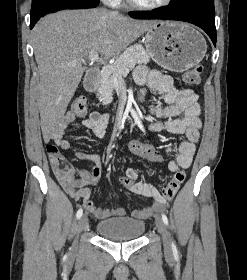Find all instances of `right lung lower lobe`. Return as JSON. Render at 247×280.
I'll return each mask as SVG.
<instances>
[{"instance_id":"1","label":"right lung lower lobe","mask_w":247,"mask_h":280,"mask_svg":"<svg viewBox=\"0 0 247 280\" xmlns=\"http://www.w3.org/2000/svg\"><path fill=\"white\" fill-rule=\"evenodd\" d=\"M98 3L89 1V0H65L52 4L49 6L39 17L30 20V28H33L35 23L39 20L40 17L45 16L48 13L53 11L62 10V9H82V8H92L96 7Z\"/></svg>"}]
</instances>
